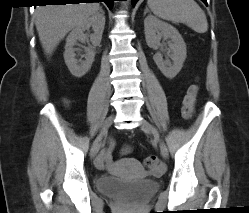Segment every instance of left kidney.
<instances>
[{
    "instance_id": "left-kidney-1",
    "label": "left kidney",
    "mask_w": 249,
    "mask_h": 213,
    "mask_svg": "<svg viewBox=\"0 0 249 213\" xmlns=\"http://www.w3.org/2000/svg\"><path fill=\"white\" fill-rule=\"evenodd\" d=\"M144 31L146 43L151 48L159 46L161 38L171 40L169 48L172 51L170 55L173 61L172 64L169 61H164L161 53H156L153 60L165 77L173 79L182 69L186 59V44L182 36L175 27L153 15L145 18Z\"/></svg>"
}]
</instances>
